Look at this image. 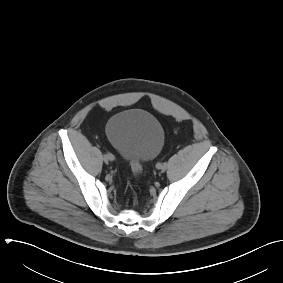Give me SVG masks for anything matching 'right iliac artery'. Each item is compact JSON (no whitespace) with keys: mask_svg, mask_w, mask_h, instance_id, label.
Here are the masks:
<instances>
[{"mask_svg":"<svg viewBox=\"0 0 283 283\" xmlns=\"http://www.w3.org/2000/svg\"><path fill=\"white\" fill-rule=\"evenodd\" d=\"M107 155H111L112 156V159L111 160H114V156L110 153H107Z\"/></svg>","mask_w":283,"mask_h":283,"instance_id":"82829eb1","label":"right iliac artery"}]
</instances>
